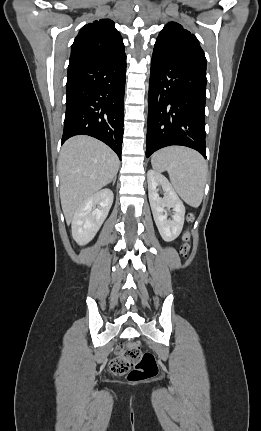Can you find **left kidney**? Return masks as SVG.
I'll return each instance as SVG.
<instances>
[{
    "mask_svg": "<svg viewBox=\"0 0 261 431\" xmlns=\"http://www.w3.org/2000/svg\"><path fill=\"white\" fill-rule=\"evenodd\" d=\"M147 180L149 202L156 226L165 241H173L182 231L185 206L167 178L161 173L149 170L147 172ZM158 186H161L165 192L163 198L159 197ZM165 208H173L174 215L172 216V220H168L167 214H164Z\"/></svg>",
    "mask_w": 261,
    "mask_h": 431,
    "instance_id": "5707ae66",
    "label": "left kidney"
}]
</instances>
